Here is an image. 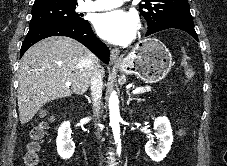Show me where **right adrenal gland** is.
Wrapping results in <instances>:
<instances>
[{"label": "right adrenal gland", "instance_id": "right-adrenal-gland-1", "mask_svg": "<svg viewBox=\"0 0 227 166\" xmlns=\"http://www.w3.org/2000/svg\"><path fill=\"white\" fill-rule=\"evenodd\" d=\"M85 97H86V99H87L88 103H91V99H90V97H89V96H87V95H85Z\"/></svg>", "mask_w": 227, "mask_h": 166}]
</instances>
